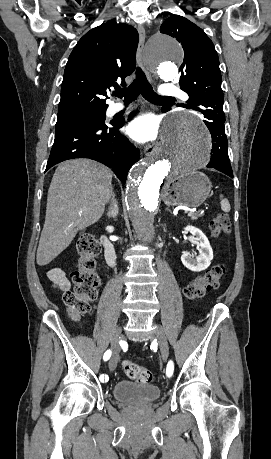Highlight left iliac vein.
<instances>
[{
	"label": "left iliac vein",
	"mask_w": 271,
	"mask_h": 459,
	"mask_svg": "<svg viewBox=\"0 0 271 459\" xmlns=\"http://www.w3.org/2000/svg\"><path fill=\"white\" fill-rule=\"evenodd\" d=\"M151 335L155 336L159 342L162 359L167 360L169 355V346L163 327L156 325V328L151 332Z\"/></svg>",
	"instance_id": "left-iliac-vein-1"
}]
</instances>
